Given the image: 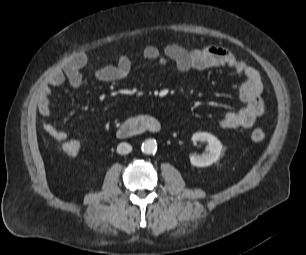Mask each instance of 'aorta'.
I'll return each mask as SVG.
<instances>
[{
	"instance_id": "aorta-1",
	"label": "aorta",
	"mask_w": 306,
	"mask_h": 255,
	"mask_svg": "<svg viewBox=\"0 0 306 255\" xmlns=\"http://www.w3.org/2000/svg\"><path fill=\"white\" fill-rule=\"evenodd\" d=\"M141 150L144 154H154L157 150V143L153 139L146 140L142 143Z\"/></svg>"
}]
</instances>
